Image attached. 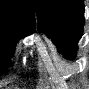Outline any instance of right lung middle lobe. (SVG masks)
Here are the masks:
<instances>
[{
    "label": "right lung middle lobe",
    "instance_id": "dd1d6c3e",
    "mask_svg": "<svg viewBox=\"0 0 89 89\" xmlns=\"http://www.w3.org/2000/svg\"><path fill=\"white\" fill-rule=\"evenodd\" d=\"M35 30L8 21H0V72H3L12 56L16 42Z\"/></svg>",
    "mask_w": 89,
    "mask_h": 89
}]
</instances>
